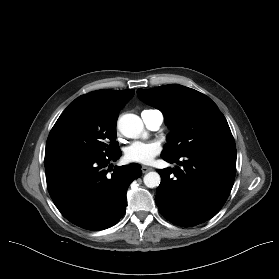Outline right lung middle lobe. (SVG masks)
Listing matches in <instances>:
<instances>
[{
	"mask_svg": "<svg viewBox=\"0 0 279 279\" xmlns=\"http://www.w3.org/2000/svg\"><path fill=\"white\" fill-rule=\"evenodd\" d=\"M119 150L116 121L77 98L64 110L46 143L45 158L64 154L107 155Z\"/></svg>",
	"mask_w": 279,
	"mask_h": 279,
	"instance_id": "right-lung-middle-lobe-1",
	"label": "right lung middle lobe"
}]
</instances>
